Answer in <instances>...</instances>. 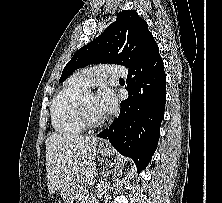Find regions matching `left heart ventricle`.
I'll return each instance as SVG.
<instances>
[{
  "label": "left heart ventricle",
  "instance_id": "obj_1",
  "mask_svg": "<svg viewBox=\"0 0 222 203\" xmlns=\"http://www.w3.org/2000/svg\"><path fill=\"white\" fill-rule=\"evenodd\" d=\"M85 108L89 116L93 119H99L103 117V114L99 112L96 106L95 96L87 94L85 96Z\"/></svg>",
  "mask_w": 222,
  "mask_h": 203
}]
</instances>
